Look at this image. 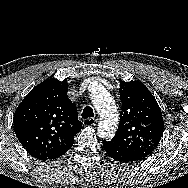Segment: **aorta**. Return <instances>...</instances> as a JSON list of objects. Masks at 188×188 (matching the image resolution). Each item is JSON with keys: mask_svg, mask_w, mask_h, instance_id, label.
<instances>
[{"mask_svg": "<svg viewBox=\"0 0 188 188\" xmlns=\"http://www.w3.org/2000/svg\"><path fill=\"white\" fill-rule=\"evenodd\" d=\"M91 90V99L96 108L100 121L98 134L102 138H112L116 133L119 115L110 93L100 84L94 83Z\"/></svg>", "mask_w": 188, "mask_h": 188, "instance_id": "762f6f07", "label": "aorta"}]
</instances>
